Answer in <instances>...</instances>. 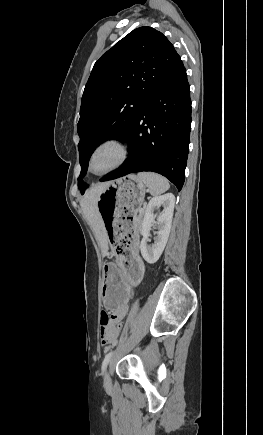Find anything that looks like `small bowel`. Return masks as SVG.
Wrapping results in <instances>:
<instances>
[{"instance_id":"small-bowel-1","label":"small bowel","mask_w":263,"mask_h":435,"mask_svg":"<svg viewBox=\"0 0 263 435\" xmlns=\"http://www.w3.org/2000/svg\"><path fill=\"white\" fill-rule=\"evenodd\" d=\"M132 261H140L142 264V272L144 271V266L142 263L141 258L139 255L135 252L134 255L131 257ZM128 312V305H121L120 310H112V321H104L103 328L104 330H107L108 335H110L111 340H115L118 335L120 329H118V322L122 321L124 317L126 316ZM102 347L105 350H108L111 347V344L108 341H105L102 344Z\"/></svg>"}]
</instances>
